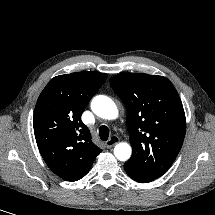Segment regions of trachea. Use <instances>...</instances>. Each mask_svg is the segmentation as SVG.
I'll use <instances>...</instances> for the list:
<instances>
[{
    "label": "trachea",
    "mask_w": 215,
    "mask_h": 215,
    "mask_svg": "<svg viewBox=\"0 0 215 215\" xmlns=\"http://www.w3.org/2000/svg\"><path fill=\"white\" fill-rule=\"evenodd\" d=\"M99 135H100L101 140L107 141V139L109 137V129L105 125H102L99 128Z\"/></svg>",
    "instance_id": "obj_1"
}]
</instances>
